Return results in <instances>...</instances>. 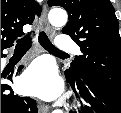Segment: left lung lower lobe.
<instances>
[{"mask_svg": "<svg viewBox=\"0 0 121 113\" xmlns=\"http://www.w3.org/2000/svg\"><path fill=\"white\" fill-rule=\"evenodd\" d=\"M67 80L76 95H80L87 104L80 113H121V93L103 81L88 77L79 81Z\"/></svg>", "mask_w": 121, "mask_h": 113, "instance_id": "1", "label": "left lung lower lobe"}]
</instances>
